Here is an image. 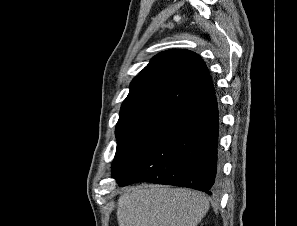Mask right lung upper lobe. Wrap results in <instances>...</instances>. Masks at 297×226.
<instances>
[{"label":"right lung upper lobe","instance_id":"cb5924a9","mask_svg":"<svg viewBox=\"0 0 297 226\" xmlns=\"http://www.w3.org/2000/svg\"><path fill=\"white\" fill-rule=\"evenodd\" d=\"M212 95V79L199 55L184 49L164 51L132 80L118 122L150 115L171 117Z\"/></svg>","mask_w":297,"mask_h":226}]
</instances>
